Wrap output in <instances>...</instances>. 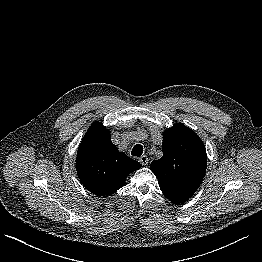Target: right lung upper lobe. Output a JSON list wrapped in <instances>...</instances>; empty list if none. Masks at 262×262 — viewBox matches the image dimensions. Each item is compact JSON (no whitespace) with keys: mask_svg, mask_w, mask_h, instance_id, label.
Segmentation results:
<instances>
[{"mask_svg":"<svg viewBox=\"0 0 262 262\" xmlns=\"http://www.w3.org/2000/svg\"><path fill=\"white\" fill-rule=\"evenodd\" d=\"M140 163L119 152L100 122L91 124L78 148L76 171L84 187L97 196L111 195Z\"/></svg>","mask_w":262,"mask_h":262,"instance_id":"obj_1","label":"right lung upper lobe"}]
</instances>
